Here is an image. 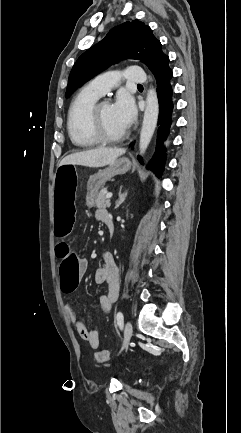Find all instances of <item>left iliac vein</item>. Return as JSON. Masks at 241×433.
<instances>
[{
  "label": "left iliac vein",
  "mask_w": 241,
  "mask_h": 433,
  "mask_svg": "<svg viewBox=\"0 0 241 433\" xmlns=\"http://www.w3.org/2000/svg\"><path fill=\"white\" fill-rule=\"evenodd\" d=\"M131 336H132V325L129 321H127L125 324V329H124V340H123V344H122V350H125L128 348Z\"/></svg>",
  "instance_id": "obj_1"
}]
</instances>
